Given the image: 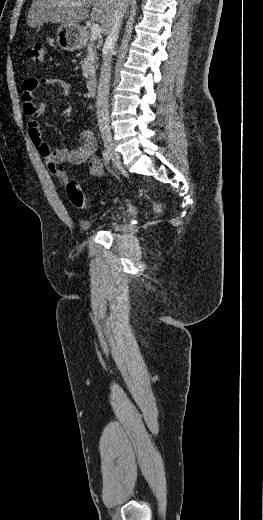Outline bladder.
I'll return each mask as SVG.
<instances>
[{"label":"bladder","instance_id":"1","mask_svg":"<svg viewBox=\"0 0 263 520\" xmlns=\"http://www.w3.org/2000/svg\"><path fill=\"white\" fill-rule=\"evenodd\" d=\"M117 221V218L113 217L109 220V224L112 225ZM79 224L84 230H89L94 227V222L86 219H80Z\"/></svg>","mask_w":263,"mask_h":520}]
</instances>
